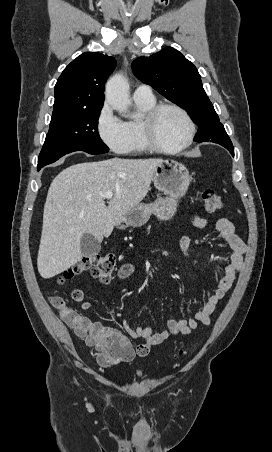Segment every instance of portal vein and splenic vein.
Wrapping results in <instances>:
<instances>
[{
    "label": "portal vein and splenic vein",
    "instance_id": "obj_1",
    "mask_svg": "<svg viewBox=\"0 0 272 452\" xmlns=\"http://www.w3.org/2000/svg\"><path fill=\"white\" fill-rule=\"evenodd\" d=\"M103 196H104L106 199H111V198L113 197V192H112V191H106V192L103 194Z\"/></svg>",
    "mask_w": 272,
    "mask_h": 452
}]
</instances>
